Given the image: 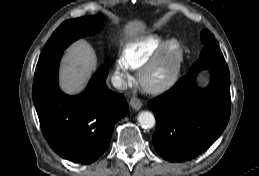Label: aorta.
Segmentation results:
<instances>
[{
  "instance_id": "obj_1",
  "label": "aorta",
  "mask_w": 259,
  "mask_h": 176,
  "mask_svg": "<svg viewBox=\"0 0 259 176\" xmlns=\"http://www.w3.org/2000/svg\"><path fill=\"white\" fill-rule=\"evenodd\" d=\"M139 124L146 129H151L155 125V117L151 112L142 111L138 114Z\"/></svg>"
}]
</instances>
